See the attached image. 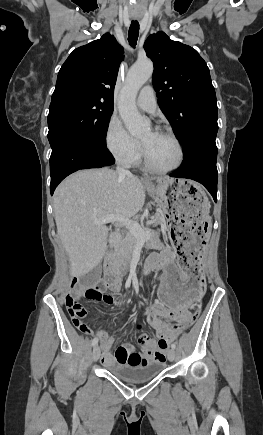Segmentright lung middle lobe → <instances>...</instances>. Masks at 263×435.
Returning <instances> with one entry per match:
<instances>
[{"label":"right lung middle lobe","mask_w":263,"mask_h":435,"mask_svg":"<svg viewBox=\"0 0 263 435\" xmlns=\"http://www.w3.org/2000/svg\"><path fill=\"white\" fill-rule=\"evenodd\" d=\"M113 104L100 101H70L50 106L48 140L52 150L62 139H82L105 146Z\"/></svg>","instance_id":"dd1d6c3e"}]
</instances>
